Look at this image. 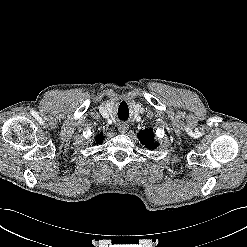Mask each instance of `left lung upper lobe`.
I'll return each mask as SVG.
<instances>
[{"instance_id": "left-lung-upper-lobe-1", "label": "left lung upper lobe", "mask_w": 247, "mask_h": 247, "mask_svg": "<svg viewBox=\"0 0 247 247\" xmlns=\"http://www.w3.org/2000/svg\"><path fill=\"white\" fill-rule=\"evenodd\" d=\"M153 136V131L151 129L142 130L138 134L141 143L148 146L150 149H155L157 147V143L153 141Z\"/></svg>"}]
</instances>
